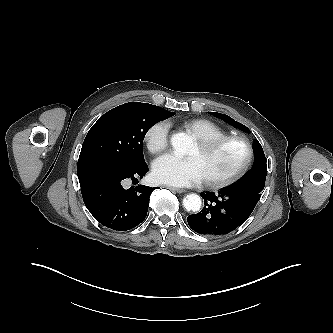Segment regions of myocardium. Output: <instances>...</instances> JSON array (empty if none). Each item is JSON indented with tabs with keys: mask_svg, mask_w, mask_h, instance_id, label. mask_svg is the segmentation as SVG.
<instances>
[{
	"mask_svg": "<svg viewBox=\"0 0 333 333\" xmlns=\"http://www.w3.org/2000/svg\"><path fill=\"white\" fill-rule=\"evenodd\" d=\"M230 143L238 144L242 148L243 151L242 161L234 171H232L230 174L222 178L218 179L205 178L204 182L210 188H215V189L224 188L236 182L239 178H241L251 165L253 159L252 146L246 138L237 135H224L222 137L214 139L200 140L197 143L199 149L204 153L214 151Z\"/></svg>",
	"mask_w": 333,
	"mask_h": 333,
	"instance_id": "f54148a6",
	"label": "myocardium"
}]
</instances>
